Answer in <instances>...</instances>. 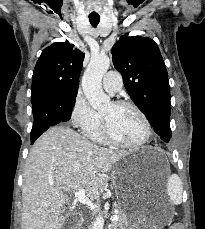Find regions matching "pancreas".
Returning <instances> with one entry per match:
<instances>
[{
  "mask_svg": "<svg viewBox=\"0 0 205 229\" xmlns=\"http://www.w3.org/2000/svg\"><path fill=\"white\" fill-rule=\"evenodd\" d=\"M120 211L116 214L119 217L118 221H112V229H128V222L120 209V206H116Z\"/></svg>",
  "mask_w": 205,
  "mask_h": 229,
  "instance_id": "1",
  "label": "pancreas"
}]
</instances>
